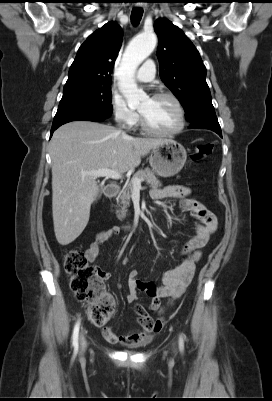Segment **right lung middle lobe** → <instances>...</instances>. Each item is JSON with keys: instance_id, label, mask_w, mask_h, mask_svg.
I'll return each instance as SVG.
<instances>
[{"instance_id": "1", "label": "right lung middle lobe", "mask_w": 272, "mask_h": 401, "mask_svg": "<svg viewBox=\"0 0 272 401\" xmlns=\"http://www.w3.org/2000/svg\"><path fill=\"white\" fill-rule=\"evenodd\" d=\"M111 82L63 91L53 124L77 116L108 118L112 114Z\"/></svg>"}]
</instances>
